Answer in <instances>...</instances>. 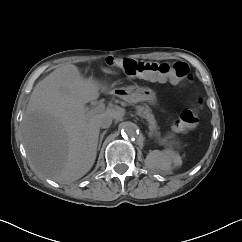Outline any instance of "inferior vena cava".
<instances>
[{"label": "inferior vena cava", "instance_id": "1", "mask_svg": "<svg viewBox=\"0 0 242 242\" xmlns=\"http://www.w3.org/2000/svg\"><path fill=\"white\" fill-rule=\"evenodd\" d=\"M112 124V117L107 115V114H103L101 117H100V120H99V125L101 128H109Z\"/></svg>", "mask_w": 242, "mask_h": 242}]
</instances>
